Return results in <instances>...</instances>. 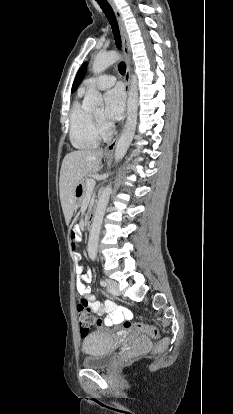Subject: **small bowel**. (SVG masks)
<instances>
[{"mask_svg":"<svg viewBox=\"0 0 233 414\" xmlns=\"http://www.w3.org/2000/svg\"><path fill=\"white\" fill-rule=\"evenodd\" d=\"M79 236L83 235L82 231L78 232ZM73 267L75 268L77 275L76 291L80 296H83L89 302L91 310L98 316H105L101 322L105 326H113L123 323L126 320L132 318V313L125 307L117 306L113 301L106 300L100 302L94 298L91 294V290L87 283L91 281L90 272L84 273L83 267L81 266V254L76 251L72 252Z\"/></svg>","mask_w":233,"mask_h":414,"instance_id":"small-bowel-1","label":"small bowel"}]
</instances>
